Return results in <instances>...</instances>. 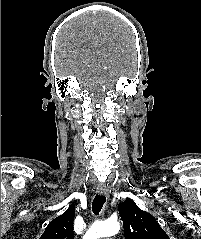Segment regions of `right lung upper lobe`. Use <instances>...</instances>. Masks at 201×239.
I'll use <instances>...</instances> for the list:
<instances>
[{
    "mask_svg": "<svg viewBox=\"0 0 201 239\" xmlns=\"http://www.w3.org/2000/svg\"><path fill=\"white\" fill-rule=\"evenodd\" d=\"M74 215L75 208L71 204L62 215L56 217L48 224L40 239H74Z\"/></svg>",
    "mask_w": 201,
    "mask_h": 239,
    "instance_id": "1",
    "label": "right lung upper lobe"
}]
</instances>
